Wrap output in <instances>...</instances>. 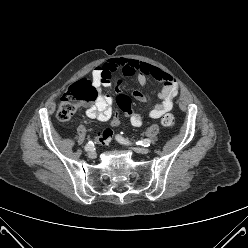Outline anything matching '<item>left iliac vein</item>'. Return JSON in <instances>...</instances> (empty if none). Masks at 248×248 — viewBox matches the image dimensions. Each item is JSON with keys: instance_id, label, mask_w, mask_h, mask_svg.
I'll return each mask as SVG.
<instances>
[{"instance_id": "4c4485c4", "label": "left iliac vein", "mask_w": 248, "mask_h": 248, "mask_svg": "<svg viewBox=\"0 0 248 248\" xmlns=\"http://www.w3.org/2000/svg\"><path fill=\"white\" fill-rule=\"evenodd\" d=\"M134 150L142 154H147L150 151L148 148H140V147L134 148Z\"/></svg>"}]
</instances>
